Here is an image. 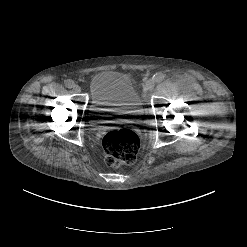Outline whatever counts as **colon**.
<instances>
[{
  "mask_svg": "<svg viewBox=\"0 0 247 247\" xmlns=\"http://www.w3.org/2000/svg\"><path fill=\"white\" fill-rule=\"evenodd\" d=\"M102 146L107 165L119 167L135 161L140 148V140L134 131L118 129L104 135Z\"/></svg>",
  "mask_w": 247,
  "mask_h": 247,
  "instance_id": "1",
  "label": "colon"
}]
</instances>
